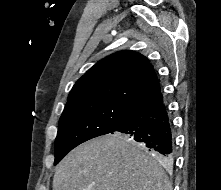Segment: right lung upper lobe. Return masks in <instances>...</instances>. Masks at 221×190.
<instances>
[{"label": "right lung upper lobe", "mask_w": 221, "mask_h": 190, "mask_svg": "<svg viewBox=\"0 0 221 190\" xmlns=\"http://www.w3.org/2000/svg\"><path fill=\"white\" fill-rule=\"evenodd\" d=\"M160 91L148 59L134 51H120L100 60L78 79L65 107L102 101L135 107Z\"/></svg>", "instance_id": "right-lung-upper-lobe-1"}]
</instances>
